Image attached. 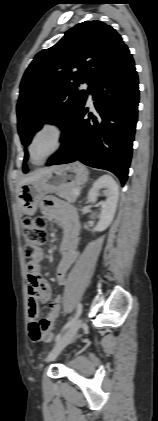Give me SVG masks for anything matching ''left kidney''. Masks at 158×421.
Segmentation results:
<instances>
[{
  "label": "left kidney",
  "instance_id": "5707ae66",
  "mask_svg": "<svg viewBox=\"0 0 158 421\" xmlns=\"http://www.w3.org/2000/svg\"><path fill=\"white\" fill-rule=\"evenodd\" d=\"M104 189L102 193L106 196V200L101 202V213L99 216V222L92 229L93 232H101L108 228L113 221L119 195V187L116 181L108 175L101 176L98 178L88 193V200L90 202H96L97 197L100 194V190ZM89 229L87 225L84 226Z\"/></svg>",
  "mask_w": 158,
  "mask_h": 421
}]
</instances>
